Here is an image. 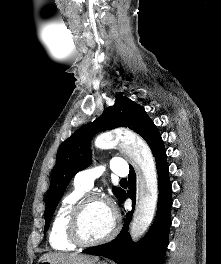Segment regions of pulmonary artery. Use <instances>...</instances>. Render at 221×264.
Masks as SVG:
<instances>
[{
  "mask_svg": "<svg viewBox=\"0 0 221 264\" xmlns=\"http://www.w3.org/2000/svg\"><path fill=\"white\" fill-rule=\"evenodd\" d=\"M104 169V166H94L78 172L74 177L75 186L88 191L92 188L94 181L103 174ZM110 169L120 177L128 174L126 162L121 158H113L110 161Z\"/></svg>",
  "mask_w": 221,
  "mask_h": 264,
  "instance_id": "e3ab8cb5",
  "label": "pulmonary artery"
}]
</instances>
